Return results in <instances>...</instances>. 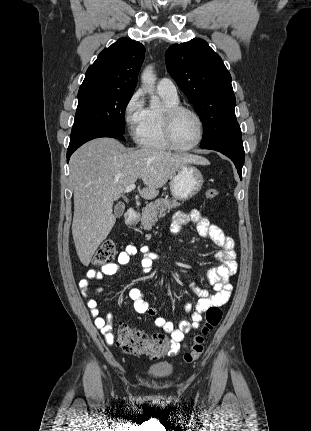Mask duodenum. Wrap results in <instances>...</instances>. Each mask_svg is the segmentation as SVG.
Segmentation results:
<instances>
[{"label": "duodenum", "mask_w": 311, "mask_h": 431, "mask_svg": "<svg viewBox=\"0 0 311 431\" xmlns=\"http://www.w3.org/2000/svg\"><path fill=\"white\" fill-rule=\"evenodd\" d=\"M138 216V212L135 208H128L124 214V220L127 224H132L135 222Z\"/></svg>", "instance_id": "duodenum-1"}]
</instances>
